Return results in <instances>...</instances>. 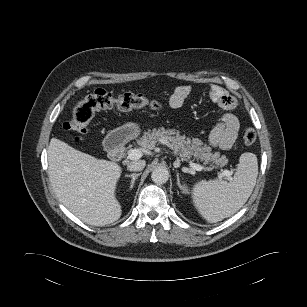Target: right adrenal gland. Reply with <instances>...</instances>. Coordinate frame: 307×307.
<instances>
[{
    "label": "right adrenal gland",
    "mask_w": 307,
    "mask_h": 307,
    "mask_svg": "<svg viewBox=\"0 0 307 307\" xmlns=\"http://www.w3.org/2000/svg\"><path fill=\"white\" fill-rule=\"evenodd\" d=\"M141 175V173H133V174H130V175H125L126 177H129L131 178V185H130V189L133 188L134 186V183H135V180Z\"/></svg>",
    "instance_id": "obj_1"
}]
</instances>
